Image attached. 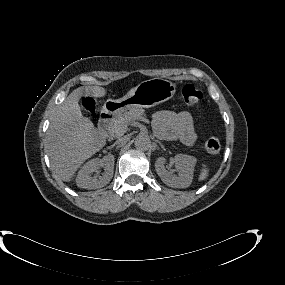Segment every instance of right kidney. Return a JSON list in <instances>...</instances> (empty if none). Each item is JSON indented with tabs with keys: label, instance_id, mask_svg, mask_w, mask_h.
<instances>
[{
	"label": "right kidney",
	"instance_id": "1",
	"mask_svg": "<svg viewBox=\"0 0 285 285\" xmlns=\"http://www.w3.org/2000/svg\"><path fill=\"white\" fill-rule=\"evenodd\" d=\"M100 167H104V173L97 179L93 173ZM114 156L106 155L102 159L95 158L86 162L79 170L76 183L83 189H97L107 185L113 177Z\"/></svg>",
	"mask_w": 285,
	"mask_h": 285
}]
</instances>
